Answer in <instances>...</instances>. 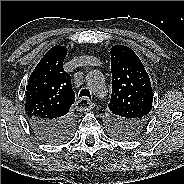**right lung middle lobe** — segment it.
<instances>
[{
  "label": "right lung middle lobe",
  "mask_w": 184,
  "mask_h": 184,
  "mask_svg": "<svg viewBox=\"0 0 184 184\" xmlns=\"http://www.w3.org/2000/svg\"><path fill=\"white\" fill-rule=\"evenodd\" d=\"M73 128H74V126H72L66 132H62V135H60L58 137H54L53 140L48 141V143H58V142H63L65 140H67L70 137V135H71V133L73 131Z\"/></svg>",
  "instance_id": "right-lung-middle-lobe-1"
}]
</instances>
